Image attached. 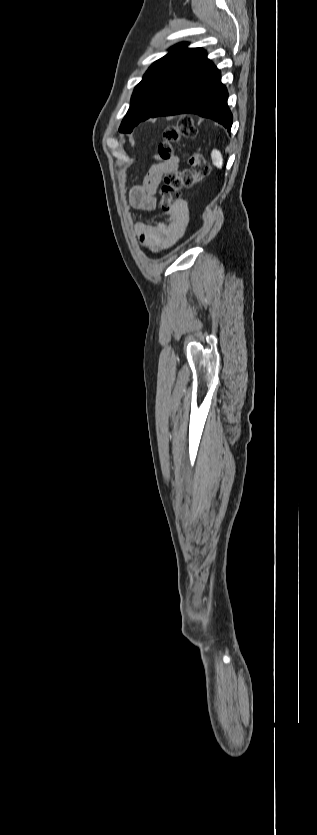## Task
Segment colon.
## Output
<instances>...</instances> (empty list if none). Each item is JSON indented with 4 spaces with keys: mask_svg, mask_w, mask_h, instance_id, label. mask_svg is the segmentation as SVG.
<instances>
[{
    "mask_svg": "<svg viewBox=\"0 0 317 835\" xmlns=\"http://www.w3.org/2000/svg\"><path fill=\"white\" fill-rule=\"evenodd\" d=\"M196 135L197 129L193 120L188 116L180 118L176 125L164 130L162 141L157 149L159 156L162 159L172 158L175 143L183 138H193ZM189 166L188 169L183 171L170 172L164 175L160 190V208L164 212H170L180 204L182 189L192 187L206 178L211 171L208 161L198 152L190 156Z\"/></svg>",
    "mask_w": 317,
    "mask_h": 835,
    "instance_id": "colon-1",
    "label": "colon"
}]
</instances>
